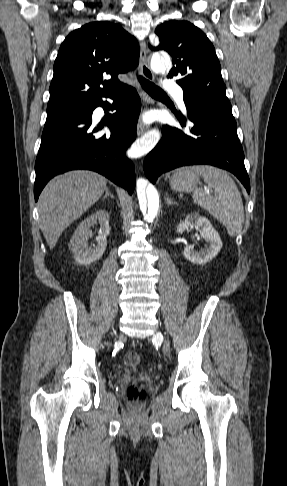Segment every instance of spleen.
Masks as SVG:
<instances>
[{
	"instance_id": "1",
	"label": "spleen",
	"mask_w": 287,
	"mask_h": 486,
	"mask_svg": "<svg viewBox=\"0 0 287 486\" xmlns=\"http://www.w3.org/2000/svg\"><path fill=\"white\" fill-rule=\"evenodd\" d=\"M194 170L214 190L213 195H209L197 188L192 195L194 203L222 223L231 237L237 236L244 224V207L234 180L226 171L213 166H195Z\"/></svg>"
}]
</instances>
